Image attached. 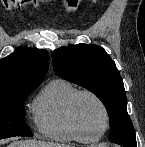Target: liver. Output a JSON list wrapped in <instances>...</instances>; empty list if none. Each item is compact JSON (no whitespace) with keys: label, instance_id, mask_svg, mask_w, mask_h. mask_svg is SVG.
I'll list each match as a JSON object with an SVG mask.
<instances>
[{"label":"liver","instance_id":"1","mask_svg":"<svg viewBox=\"0 0 145 147\" xmlns=\"http://www.w3.org/2000/svg\"><path fill=\"white\" fill-rule=\"evenodd\" d=\"M8 147H69L63 144H56L51 142L26 140L12 142Z\"/></svg>","mask_w":145,"mask_h":147}]
</instances>
